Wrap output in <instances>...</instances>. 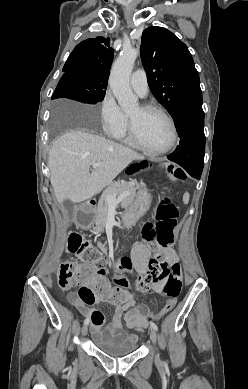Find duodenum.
<instances>
[{"instance_id": "410a0bca", "label": "duodenum", "mask_w": 248, "mask_h": 389, "mask_svg": "<svg viewBox=\"0 0 248 389\" xmlns=\"http://www.w3.org/2000/svg\"><path fill=\"white\" fill-rule=\"evenodd\" d=\"M97 206V200L95 198H90L87 201V205L80 208V210L77 212V222L79 225L85 229L88 230L92 226V220H86L84 218V215L86 213H92L93 209Z\"/></svg>"}]
</instances>
